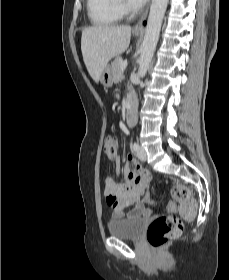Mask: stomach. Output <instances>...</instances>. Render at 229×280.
I'll use <instances>...</instances> for the list:
<instances>
[{
  "label": "stomach",
  "instance_id": "obj_1",
  "mask_svg": "<svg viewBox=\"0 0 229 280\" xmlns=\"http://www.w3.org/2000/svg\"><path fill=\"white\" fill-rule=\"evenodd\" d=\"M136 35H138V33H136ZM100 82L106 88H109V87L112 86L114 81H113L112 69H111L110 66H107L104 69V71H103V73H102V75L100 77Z\"/></svg>",
  "mask_w": 229,
  "mask_h": 280
}]
</instances>
